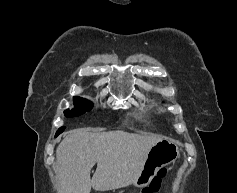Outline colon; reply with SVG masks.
Segmentation results:
<instances>
[{
	"mask_svg": "<svg viewBox=\"0 0 237 193\" xmlns=\"http://www.w3.org/2000/svg\"><path fill=\"white\" fill-rule=\"evenodd\" d=\"M165 173V169L159 170L148 185L142 187L139 191L132 193H157L160 189L161 180L165 176Z\"/></svg>",
	"mask_w": 237,
	"mask_h": 193,
	"instance_id": "colon-1",
	"label": "colon"
}]
</instances>
